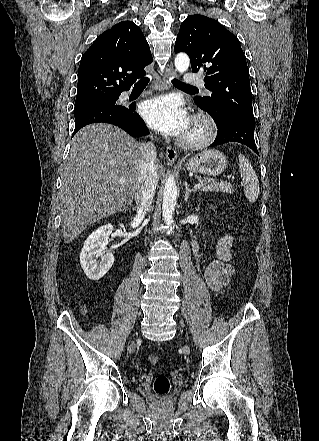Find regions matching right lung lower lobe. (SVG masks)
Returning <instances> with one entry per match:
<instances>
[{
  "mask_svg": "<svg viewBox=\"0 0 319 441\" xmlns=\"http://www.w3.org/2000/svg\"><path fill=\"white\" fill-rule=\"evenodd\" d=\"M135 107L136 104L125 107L114 103L94 105L74 112L75 129L73 135L82 127L98 122L116 125L133 137L146 135L149 132L148 128L135 112Z\"/></svg>",
  "mask_w": 319,
  "mask_h": 441,
  "instance_id": "obj_1",
  "label": "right lung lower lobe"
}]
</instances>
